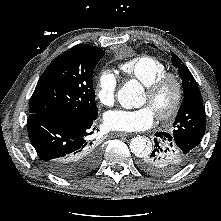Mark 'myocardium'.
Segmentation results:
<instances>
[{
  "mask_svg": "<svg viewBox=\"0 0 221 221\" xmlns=\"http://www.w3.org/2000/svg\"><path fill=\"white\" fill-rule=\"evenodd\" d=\"M172 85L174 88V98L171 105L164 111L156 114L158 120L167 121L173 118L179 111L184 98V85L181 78L172 72H167L152 83L145 86L146 93L151 97H157L164 88Z\"/></svg>",
  "mask_w": 221,
  "mask_h": 221,
  "instance_id": "1",
  "label": "myocardium"
}]
</instances>
